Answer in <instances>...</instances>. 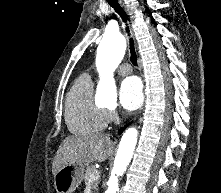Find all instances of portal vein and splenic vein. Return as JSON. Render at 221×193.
Segmentation results:
<instances>
[{
  "label": "portal vein and splenic vein",
  "mask_w": 221,
  "mask_h": 193,
  "mask_svg": "<svg viewBox=\"0 0 221 193\" xmlns=\"http://www.w3.org/2000/svg\"><path fill=\"white\" fill-rule=\"evenodd\" d=\"M100 172L96 170L95 172L92 173L91 175V180H95L99 177Z\"/></svg>",
  "instance_id": "obj_1"
}]
</instances>
